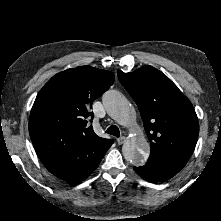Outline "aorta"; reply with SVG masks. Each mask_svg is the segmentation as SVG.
Instances as JSON below:
<instances>
[{
	"mask_svg": "<svg viewBox=\"0 0 221 221\" xmlns=\"http://www.w3.org/2000/svg\"><path fill=\"white\" fill-rule=\"evenodd\" d=\"M102 102L107 113L117 123L128 127L135 118L133 105L123 94L116 90H108L102 96ZM150 152V145L144 136L129 137L122 146V153L126 161L133 165H142Z\"/></svg>",
	"mask_w": 221,
	"mask_h": 221,
	"instance_id": "762f6f07",
	"label": "aorta"
}]
</instances>
